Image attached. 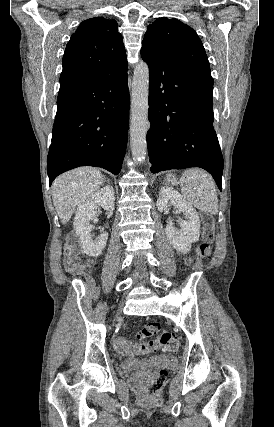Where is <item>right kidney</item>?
Here are the masks:
<instances>
[{
    "mask_svg": "<svg viewBox=\"0 0 274 427\" xmlns=\"http://www.w3.org/2000/svg\"><path fill=\"white\" fill-rule=\"evenodd\" d=\"M115 206L114 190L112 186H105L102 190H98L88 198L83 206H78L75 214L73 227L76 235L80 239L83 251L92 257H98L102 253L108 239L107 231L102 229L100 235L96 239L91 237L90 219L98 221L95 208H104L107 212H113Z\"/></svg>",
    "mask_w": 274,
    "mask_h": 427,
    "instance_id": "obj_1",
    "label": "right kidney"
}]
</instances>
